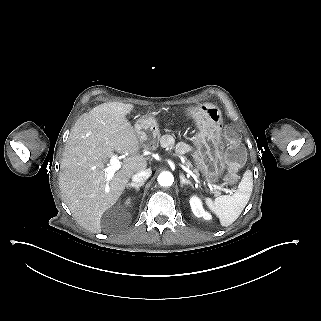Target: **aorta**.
<instances>
[{"instance_id": "obj_1", "label": "aorta", "mask_w": 321, "mask_h": 321, "mask_svg": "<svg viewBox=\"0 0 321 321\" xmlns=\"http://www.w3.org/2000/svg\"><path fill=\"white\" fill-rule=\"evenodd\" d=\"M173 182H174V177L170 172L165 171L160 173L158 176V183L161 186L168 187V186H171Z\"/></svg>"}]
</instances>
